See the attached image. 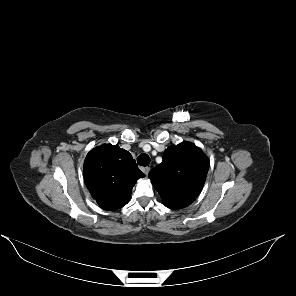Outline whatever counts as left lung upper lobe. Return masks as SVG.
Wrapping results in <instances>:
<instances>
[{
  "mask_svg": "<svg viewBox=\"0 0 296 296\" xmlns=\"http://www.w3.org/2000/svg\"><path fill=\"white\" fill-rule=\"evenodd\" d=\"M209 169V159L190 142L168 147L161 164L149 172L154 188L170 209L190 205L201 192Z\"/></svg>",
  "mask_w": 296,
  "mask_h": 296,
  "instance_id": "left-lung-upper-lobe-1",
  "label": "left lung upper lobe"
}]
</instances>
